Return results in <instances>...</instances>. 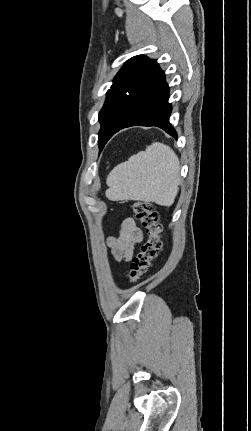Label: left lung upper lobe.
Segmentation results:
<instances>
[{
  "label": "left lung upper lobe",
  "instance_id": "obj_1",
  "mask_svg": "<svg viewBox=\"0 0 251 431\" xmlns=\"http://www.w3.org/2000/svg\"><path fill=\"white\" fill-rule=\"evenodd\" d=\"M155 65L156 60L138 55L129 59L115 76L111 89L107 92L105 103L99 112L101 129L98 134V142L100 151L121 122Z\"/></svg>",
  "mask_w": 251,
  "mask_h": 431
}]
</instances>
